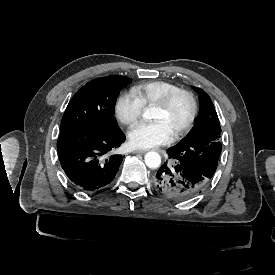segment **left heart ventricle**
<instances>
[{"mask_svg":"<svg viewBox=\"0 0 275 275\" xmlns=\"http://www.w3.org/2000/svg\"><path fill=\"white\" fill-rule=\"evenodd\" d=\"M190 104L186 97L178 96L167 109L152 107V121L161 122L171 133L175 134L187 122Z\"/></svg>","mask_w":275,"mask_h":275,"instance_id":"1","label":"left heart ventricle"}]
</instances>
